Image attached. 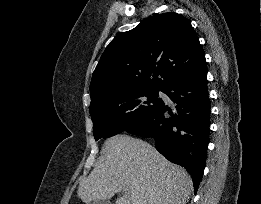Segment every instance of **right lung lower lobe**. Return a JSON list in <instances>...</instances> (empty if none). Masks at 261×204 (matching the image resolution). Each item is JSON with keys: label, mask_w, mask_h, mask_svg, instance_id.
<instances>
[{"label": "right lung lower lobe", "mask_w": 261, "mask_h": 204, "mask_svg": "<svg viewBox=\"0 0 261 204\" xmlns=\"http://www.w3.org/2000/svg\"><path fill=\"white\" fill-rule=\"evenodd\" d=\"M205 58L193 69L171 81L161 91L176 104L172 111L161 99L143 119L126 129L151 137L156 149L192 176L195 194L207 158L210 101Z\"/></svg>", "instance_id": "98d812e1"}]
</instances>
